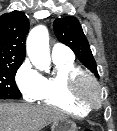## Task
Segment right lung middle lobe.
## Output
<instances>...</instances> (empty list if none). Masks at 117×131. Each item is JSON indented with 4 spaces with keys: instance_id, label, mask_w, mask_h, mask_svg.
<instances>
[{
    "instance_id": "obj_1",
    "label": "right lung middle lobe",
    "mask_w": 117,
    "mask_h": 131,
    "mask_svg": "<svg viewBox=\"0 0 117 131\" xmlns=\"http://www.w3.org/2000/svg\"><path fill=\"white\" fill-rule=\"evenodd\" d=\"M21 63H0V99H19L22 95L15 83Z\"/></svg>"
}]
</instances>
